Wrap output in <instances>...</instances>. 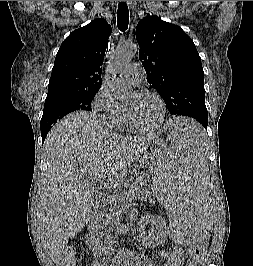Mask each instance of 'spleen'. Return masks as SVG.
<instances>
[{
    "label": "spleen",
    "mask_w": 253,
    "mask_h": 266,
    "mask_svg": "<svg viewBox=\"0 0 253 266\" xmlns=\"http://www.w3.org/2000/svg\"><path fill=\"white\" fill-rule=\"evenodd\" d=\"M168 150L155 160L153 199L165 210L170 248H203L211 234L215 207H208V135L194 117H167Z\"/></svg>",
    "instance_id": "1"
}]
</instances>
